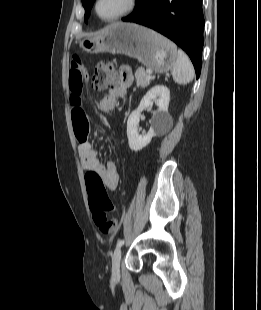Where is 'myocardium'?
<instances>
[{"label": "myocardium", "mask_w": 261, "mask_h": 310, "mask_svg": "<svg viewBox=\"0 0 261 310\" xmlns=\"http://www.w3.org/2000/svg\"><path fill=\"white\" fill-rule=\"evenodd\" d=\"M101 0H95L94 2V13L95 15L103 22H107V23H111V22H115L117 20H120L124 17H126L127 15H129L136 7L137 4V0H125V6L124 8L118 12L117 14L111 16V17H103L98 10V6Z\"/></svg>", "instance_id": "obj_1"}]
</instances>
